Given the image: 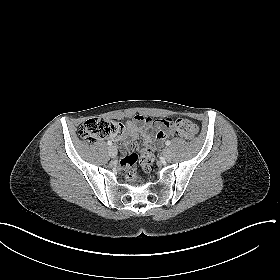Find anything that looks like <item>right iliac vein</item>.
Instances as JSON below:
<instances>
[{
	"instance_id": "obj_1",
	"label": "right iliac vein",
	"mask_w": 280,
	"mask_h": 280,
	"mask_svg": "<svg viewBox=\"0 0 280 280\" xmlns=\"http://www.w3.org/2000/svg\"><path fill=\"white\" fill-rule=\"evenodd\" d=\"M109 155L112 157V158H115L117 156V148L116 146H111L109 148Z\"/></svg>"
}]
</instances>
